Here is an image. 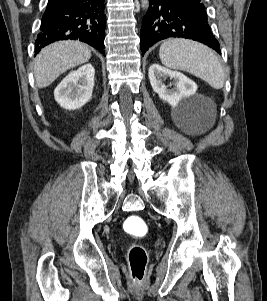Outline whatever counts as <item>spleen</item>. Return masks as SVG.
Segmentation results:
<instances>
[{
	"mask_svg": "<svg viewBox=\"0 0 267 301\" xmlns=\"http://www.w3.org/2000/svg\"><path fill=\"white\" fill-rule=\"evenodd\" d=\"M159 57L164 66L189 72L214 89H221L224 85L221 63L214 52L201 43L181 38L168 39L160 46Z\"/></svg>",
	"mask_w": 267,
	"mask_h": 301,
	"instance_id": "obj_1",
	"label": "spleen"
}]
</instances>
